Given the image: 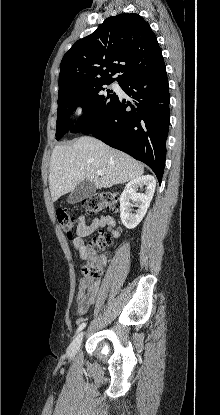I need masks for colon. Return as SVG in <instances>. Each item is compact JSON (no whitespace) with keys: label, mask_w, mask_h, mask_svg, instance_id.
<instances>
[{"label":"colon","mask_w":220,"mask_h":415,"mask_svg":"<svg viewBox=\"0 0 220 415\" xmlns=\"http://www.w3.org/2000/svg\"><path fill=\"white\" fill-rule=\"evenodd\" d=\"M83 209L89 214H97L105 211H117L119 207V196L110 191L96 192L82 200ZM58 223L68 232L76 228L74 218L66 211L59 209L56 212ZM111 237L105 233L98 238L90 240L86 244L87 260L82 271L89 280L98 279L101 276L103 263L100 253L109 245Z\"/></svg>","instance_id":"1"}]
</instances>
